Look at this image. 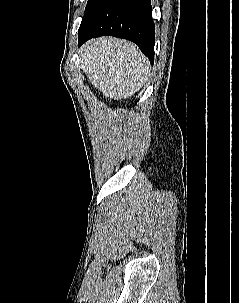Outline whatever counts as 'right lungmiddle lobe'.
Returning <instances> with one entry per match:
<instances>
[{
  "label": "right lung middle lobe",
  "instance_id": "right-lung-middle-lobe-1",
  "mask_svg": "<svg viewBox=\"0 0 239 303\" xmlns=\"http://www.w3.org/2000/svg\"><path fill=\"white\" fill-rule=\"evenodd\" d=\"M108 0H88L80 30H83L94 18L95 14L104 6Z\"/></svg>",
  "mask_w": 239,
  "mask_h": 303
}]
</instances>
